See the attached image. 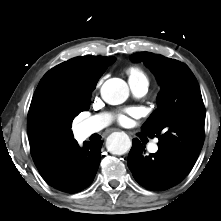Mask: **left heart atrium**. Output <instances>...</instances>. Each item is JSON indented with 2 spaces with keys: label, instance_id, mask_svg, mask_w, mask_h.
Returning a JSON list of instances; mask_svg holds the SVG:
<instances>
[{
  "label": "left heart atrium",
  "instance_id": "left-heart-atrium-1",
  "mask_svg": "<svg viewBox=\"0 0 221 221\" xmlns=\"http://www.w3.org/2000/svg\"><path fill=\"white\" fill-rule=\"evenodd\" d=\"M129 113H130V114H135L136 111H135V110H130ZM118 121H119L121 124H125V123L128 122V118H127V116H126L125 114H120V115L118 116Z\"/></svg>",
  "mask_w": 221,
  "mask_h": 221
}]
</instances>
